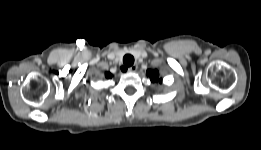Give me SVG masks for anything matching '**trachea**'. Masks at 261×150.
I'll return each instance as SVG.
<instances>
[{"instance_id":"1","label":"trachea","mask_w":261,"mask_h":150,"mask_svg":"<svg viewBox=\"0 0 261 150\" xmlns=\"http://www.w3.org/2000/svg\"><path fill=\"white\" fill-rule=\"evenodd\" d=\"M123 63H124V66L122 67V70H126L127 67H130L133 65L134 57L130 54L125 55L123 58Z\"/></svg>"}]
</instances>
